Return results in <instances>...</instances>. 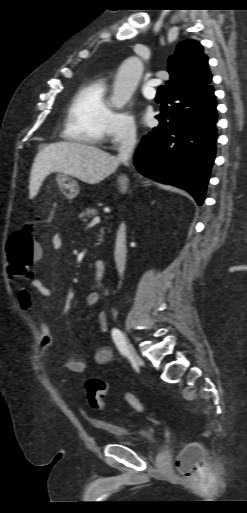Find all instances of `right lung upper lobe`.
<instances>
[{
	"label": "right lung upper lobe",
	"instance_id": "right-lung-upper-lobe-1",
	"mask_svg": "<svg viewBox=\"0 0 247 513\" xmlns=\"http://www.w3.org/2000/svg\"><path fill=\"white\" fill-rule=\"evenodd\" d=\"M170 81L166 93H196L211 86L212 75L208 57L198 41L186 40L178 44L176 53L168 60Z\"/></svg>",
	"mask_w": 247,
	"mask_h": 513
}]
</instances>
